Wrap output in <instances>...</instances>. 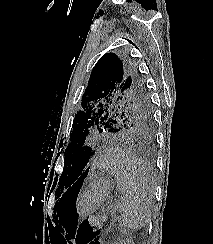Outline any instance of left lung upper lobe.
I'll return each instance as SVG.
<instances>
[{"label": "left lung upper lobe", "mask_w": 213, "mask_h": 244, "mask_svg": "<svg viewBox=\"0 0 213 244\" xmlns=\"http://www.w3.org/2000/svg\"><path fill=\"white\" fill-rule=\"evenodd\" d=\"M149 91L140 73L129 61L106 53L96 63L82 96V110L75 115L72 143L65 151L64 169L57 191L76 182L89 128L100 132L126 133L149 140L154 133V118Z\"/></svg>", "instance_id": "1"}]
</instances>
